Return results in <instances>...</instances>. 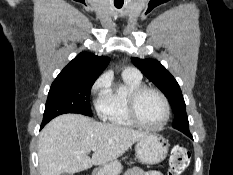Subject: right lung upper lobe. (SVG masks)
<instances>
[{
    "label": "right lung upper lobe",
    "instance_id": "cb5924a9",
    "mask_svg": "<svg viewBox=\"0 0 233 175\" xmlns=\"http://www.w3.org/2000/svg\"><path fill=\"white\" fill-rule=\"evenodd\" d=\"M109 61L108 57L82 52L60 72L55 81L97 79Z\"/></svg>",
    "mask_w": 233,
    "mask_h": 175
}]
</instances>
